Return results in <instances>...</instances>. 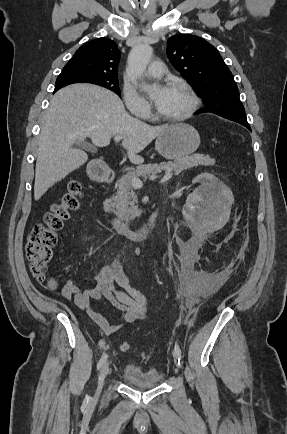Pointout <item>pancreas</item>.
Instances as JSON below:
<instances>
[{
    "mask_svg": "<svg viewBox=\"0 0 287 434\" xmlns=\"http://www.w3.org/2000/svg\"><path fill=\"white\" fill-rule=\"evenodd\" d=\"M213 165H215V159L202 154L185 156L175 159L174 161L162 162L160 164L140 165L135 171H129L118 180L117 194L113 198L112 203L113 212L126 222L134 220L141 214L140 210L135 205L138 203V199L131 184L133 177L155 176L157 173L168 170L174 172L175 175H179L182 171L190 168Z\"/></svg>",
    "mask_w": 287,
    "mask_h": 434,
    "instance_id": "obj_1",
    "label": "pancreas"
}]
</instances>
